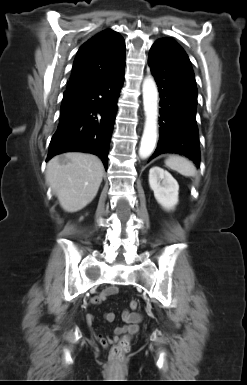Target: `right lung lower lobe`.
Wrapping results in <instances>:
<instances>
[{"label": "right lung lower lobe", "mask_w": 247, "mask_h": 385, "mask_svg": "<svg viewBox=\"0 0 247 385\" xmlns=\"http://www.w3.org/2000/svg\"><path fill=\"white\" fill-rule=\"evenodd\" d=\"M125 66L116 73L64 93L58 128L47 160L68 152L98 155L107 169L108 150L124 81Z\"/></svg>", "instance_id": "obj_1"}]
</instances>
